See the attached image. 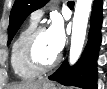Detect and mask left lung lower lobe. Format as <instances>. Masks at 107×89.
<instances>
[{
  "label": "left lung lower lobe",
  "instance_id": "1",
  "mask_svg": "<svg viewBox=\"0 0 107 89\" xmlns=\"http://www.w3.org/2000/svg\"><path fill=\"white\" fill-rule=\"evenodd\" d=\"M102 0H94L90 19V31L85 51L75 66L69 67L67 61L48 77L66 86H77L84 89H97L96 61L101 43Z\"/></svg>",
  "mask_w": 107,
  "mask_h": 89
}]
</instances>
